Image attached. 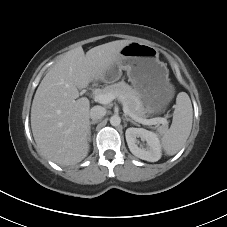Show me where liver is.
Returning a JSON list of instances; mask_svg holds the SVG:
<instances>
[{
	"label": "liver",
	"mask_w": 227,
	"mask_h": 227,
	"mask_svg": "<svg viewBox=\"0 0 227 227\" xmlns=\"http://www.w3.org/2000/svg\"><path fill=\"white\" fill-rule=\"evenodd\" d=\"M130 42L112 41L86 54L77 47L66 52L45 75L32 102L31 128L38 148L48 159L68 166L88 155L90 102L79 98L78 89L102 80Z\"/></svg>",
	"instance_id": "6515ba94"
}]
</instances>
